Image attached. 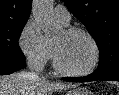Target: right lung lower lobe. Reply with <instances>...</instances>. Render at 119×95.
<instances>
[{
  "label": "right lung lower lobe",
  "instance_id": "right-lung-lower-lobe-1",
  "mask_svg": "<svg viewBox=\"0 0 119 95\" xmlns=\"http://www.w3.org/2000/svg\"><path fill=\"white\" fill-rule=\"evenodd\" d=\"M25 65V61L0 60V75L11 74L24 68Z\"/></svg>",
  "mask_w": 119,
  "mask_h": 95
}]
</instances>
